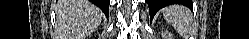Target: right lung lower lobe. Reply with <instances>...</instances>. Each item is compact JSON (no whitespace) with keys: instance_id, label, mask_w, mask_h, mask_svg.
Segmentation results:
<instances>
[{"instance_id":"98d812e1","label":"right lung lower lobe","mask_w":249,"mask_h":39,"mask_svg":"<svg viewBox=\"0 0 249 39\" xmlns=\"http://www.w3.org/2000/svg\"><path fill=\"white\" fill-rule=\"evenodd\" d=\"M92 2L98 6L106 16H108L109 13V0H92Z\"/></svg>"}]
</instances>
